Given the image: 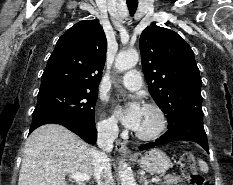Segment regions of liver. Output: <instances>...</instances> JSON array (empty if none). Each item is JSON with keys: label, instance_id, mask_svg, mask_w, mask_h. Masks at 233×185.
Here are the masks:
<instances>
[{"label": "liver", "instance_id": "liver-1", "mask_svg": "<svg viewBox=\"0 0 233 185\" xmlns=\"http://www.w3.org/2000/svg\"><path fill=\"white\" fill-rule=\"evenodd\" d=\"M95 151L65 127L43 125L25 143L18 185H67V174L94 176Z\"/></svg>", "mask_w": 233, "mask_h": 185}]
</instances>
